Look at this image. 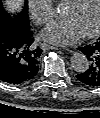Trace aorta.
<instances>
[{
    "label": "aorta",
    "instance_id": "762f6f07",
    "mask_svg": "<svg viewBox=\"0 0 100 118\" xmlns=\"http://www.w3.org/2000/svg\"><path fill=\"white\" fill-rule=\"evenodd\" d=\"M71 66L76 72L83 73L88 70L89 61L85 54L75 52L71 57Z\"/></svg>",
    "mask_w": 100,
    "mask_h": 118
}]
</instances>
